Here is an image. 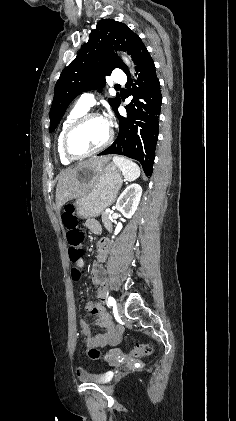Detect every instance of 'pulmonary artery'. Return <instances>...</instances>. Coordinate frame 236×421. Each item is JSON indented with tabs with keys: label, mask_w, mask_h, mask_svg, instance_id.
I'll list each match as a JSON object with an SVG mask.
<instances>
[{
	"label": "pulmonary artery",
	"mask_w": 236,
	"mask_h": 421,
	"mask_svg": "<svg viewBox=\"0 0 236 421\" xmlns=\"http://www.w3.org/2000/svg\"><path fill=\"white\" fill-rule=\"evenodd\" d=\"M125 71L123 69H116L114 71V76L112 77V80L114 81V84L112 86H124L126 84L125 79ZM95 96L92 93L84 94L82 95L77 105L81 107L84 110H89L94 104H95Z\"/></svg>",
	"instance_id": "1"
}]
</instances>
